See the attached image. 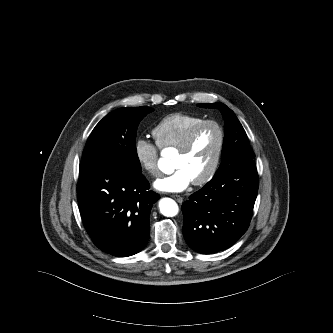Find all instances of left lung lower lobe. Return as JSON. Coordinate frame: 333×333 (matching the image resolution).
<instances>
[{"label":"left lung lower lobe","instance_id":"1","mask_svg":"<svg viewBox=\"0 0 333 333\" xmlns=\"http://www.w3.org/2000/svg\"><path fill=\"white\" fill-rule=\"evenodd\" d=\"M257 192L253 160L232 163L215 173L182 205L187 244L202 254L233 245L249 226Z\"/></svg>","mask_w":333,"mask_h":333}]
</instances>
